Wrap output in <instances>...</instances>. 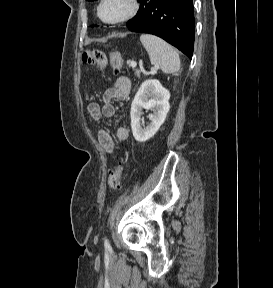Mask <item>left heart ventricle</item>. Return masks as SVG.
<instances>
[{"instance_id": "left-heart-ventricle-1", "label": "left heart ventricle", "mask_w": 273, "mask_h": 288, "mask_svg": "<svg viewBox=\"0 0 273 288\" xmlns=\"http://www.w3.org/2000/svg\"><path fill=\"white\" fill-rule=\"evenodd\" d=\"M127 9L126 0H107L101 9V15L105 19H115L124 14Z\"/></svg>"}]
</instances>
